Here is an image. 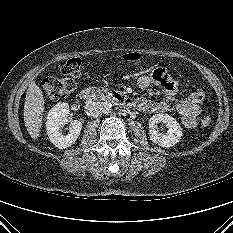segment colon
<instances>
[{
    "mask_svg": "<svg viewBox=\"0 0 233 233\" xmlns=\"http://www.w3.org/2000/svg\"><path fill=\"white\" fill-rule=\"evenodd\" d=\"M127 62H138L141 55L136 52L126 53L122 56ZM64 77H47L41 85L46 94L53 99H60L69 96L75 89V79L83 74L82 61L79 58L69 59L62 68ZM205 99V93L202 90H195L190 94L189 100L193 103H201ZM202 126L211 124V116L206 114L201 119Z\"/></svg>",
    "mask_w": 233,
    "mask_h": 233,
    "instance_id": "1",
    "label": "colon"
}]
</instances>
